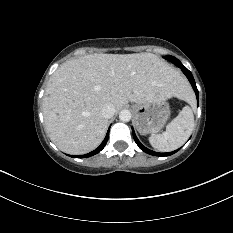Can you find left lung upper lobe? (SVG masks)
<instances>
[{"label":"left lung upper lobe","mask_w":233,"mask_h":233,"mask_svg":"<svg viewBox=\"0 0 233 233\" xmlns=\"http://www.w3.org/2000/svg\"><path fill=\"white\" fill-rule=\"evenodd\" d=\"M164 58L167 59V60H169V61H171L172 63H174L175 61L178 60L177 58H175L173 56H165Z\"/></svg>","instance_id":"obj_1"}]
</instances>
